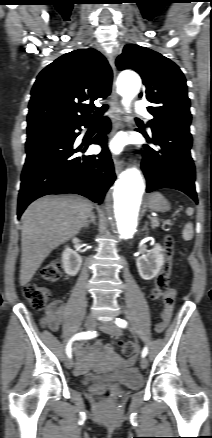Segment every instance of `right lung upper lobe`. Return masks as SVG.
<instances>
[{"instance_id":"1","label":"right lung upper lobe","mask_w":212,"mask_h":438,"mask_svg":"<svg viewBox=\"0 0 212 438\" xmlns=\"http://www.w3.org/2000/svg\"><path fill=\"white\" fill-rule=\"evenodd\" d=\"M112 70L94 49L66 53L43 69L31 91L28 130L90 121L94 101L111 92Z\"/></svg>"}]
</instances>
